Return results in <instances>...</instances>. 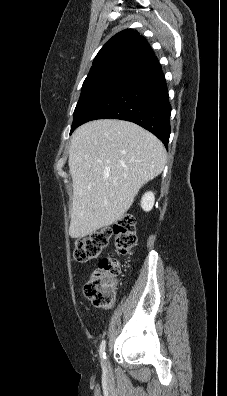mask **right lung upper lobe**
<instances>
[{"mask_svg":"<svg viewBox=\"0 0 227 396\" xmlns=\"http://www.w3.org/2000/svg\"><path fill=\"white\" fill-rule=\"evenodd\" d=\"M155 55L145 38L132 29L114 35L98 52L89 74L111 69L124 68L134 71Z\"/></svg>","mask_w":227,"mask_h":396,"instance_id":"obj_1","label":"right lung upper lobe"}]
</instances>
